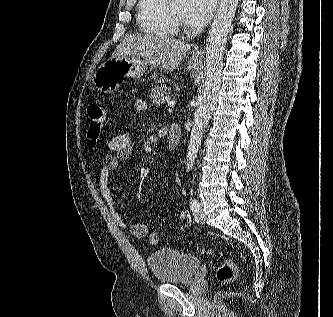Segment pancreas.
Here are the masks:
<instances>
[{"label":"pancreas","mask_w":333,"mask_h":317,"mask_svg":"<svg viewBox=\"0 0 333 317\" xmlns=\"http://www.w3.org/2000/svg\"><path fill=\"white\" fill-rule=\"evenodd\" d=\"M171 88L166 85L156 86L150 93V101L153 104H162L164 97H168Z\"/></svg>","instance_id":"cf45deb5"}]
</instances>
